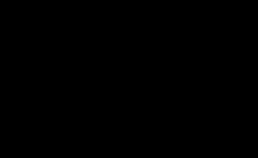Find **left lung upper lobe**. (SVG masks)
I'll return each instance as SVG.
<instances>
[{
    "label": "left lung upper lobe",
    "instance_id": "left-lung-upper-lobe-1",
    "mask_svg": "<svg viewBox=\"0 0 258 158\" xmlns=\"http://www.w3.org/2000/svg\"><path fill=\"white\" fill-rule=\"evenodd\" d=\"M159 33L168 42H170L177 51L178 65L184 62L194 50L200 48L197 44L189 40L186 36L176 31L170 29H162L159 31Z\"/></svg>",
    "mask_w": 258,
    "mask_h": 158
}]
</instances>
